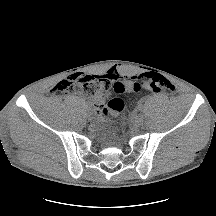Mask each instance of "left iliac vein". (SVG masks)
Here are the masks:
<instances>
[{"mask_svg":"<svg viewBox=\"0 0 216 216\" xmlns=\"http://www.w3.org/2000/svg\"><path fill=\"white\" fill-rule=\"evenodd\" d=\"M143 122H144V117H143L142 114H138V115L135 116V118H134V125L136 127L141 126L143 124Z\"/></svg>","mask_w":216,"mask_h":216,"instance_id":"obj_1","label":"left iliac vein"}]
</instances>
